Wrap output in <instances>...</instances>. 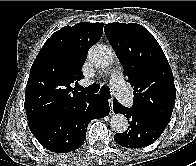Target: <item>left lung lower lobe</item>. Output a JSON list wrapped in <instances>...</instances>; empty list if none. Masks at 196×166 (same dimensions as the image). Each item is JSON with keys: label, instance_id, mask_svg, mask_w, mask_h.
<instances>
[{"label": "left lung lower lobe", "instance_id": "left-lung-lower-lobe-1", "mask_svg": "<svg viewBox=\"0 0 196 166\" xmlns=\"http://www.w3.org/2000/svg\"><path fill=\"white\" fill-rule=\"evenodd\" d=\"M113 110L124 114L130 124L127 131L114 135L115 142L122 147L141 148L150 145L160 137L168 124L126 108L117 100H113Z\"/></svg>", "mask_w": 196, "mask_h": 166}]
</instances>
